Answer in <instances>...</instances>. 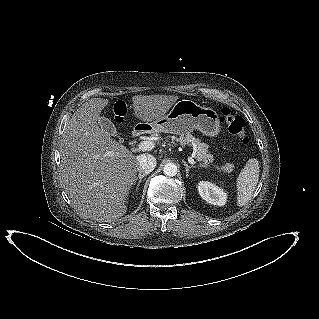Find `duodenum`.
<instances>
[{
    "label": "duodenum",
    "mask_w": 319,
    "mask_h": 319,
    "mask_svg": "<svg viewBox=\"0 0 319 319\" xmlns=\"http://www.w3.org/2000/svg\"><path fill=\"white\" fill-rule=\"evenodd\" d=\"M147 130H149V126H148V125H146V124H140V125H138V126L135 128V130H134V132H133V136H134V137H137V136L141 135L142 133L146 132Z\"/></svg>",
    "instance_id": "410a0bca"
}]
</instances>
